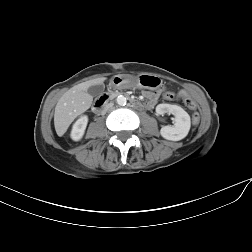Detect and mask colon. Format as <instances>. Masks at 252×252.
Returning <instances> with one entry per match:
<instances>
[{
    "label": "colon",
    "instance_id": "obj_1",
    "mask_svg": "<svg viewBox=\"0 0 252 252\" xmlns=\"http://www.w3.org/2000/svg\"><path fill=\"white\" fill-rule=\"evenodd\" d=\"M141 83H142L143 85H146V86H153V85H156V84H154L150 79L144 80V81H142ZM164 98L167 99V100H173V99L176 98V96H175V94L172 93V92H166V93L164 94ZM181 98H182L183 103L185 104V106H186L188 109H190L191 111H193V114H192V121H193V124H194V125H197V124L199 123L200 117H199V114L196 112V104H195V102H194L191 98H189V97H187V96L181 97Z\"/></svg>",
    "mask_w": 252,
    "mask_h": 252
}]
</instances>
